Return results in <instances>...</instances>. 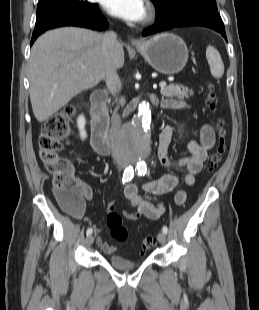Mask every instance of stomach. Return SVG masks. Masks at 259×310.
Returning a JSON list of instances; mask_svg holds the SVG:
<instances>
[{
    "mask_svg": "<svg viewBox=\"0 0 259 310\" xmlns=\"http://www.w3.org/2000/svg\"><path fill=\"white\" fill-rule=\"evenodd\" d=\"M137 50L153 69L166 75L179 73L188 61L185 42L171 33H162L142 42Z\"/></svg>",
    "mask_w": 259,
    "mask_h": 310,
    "instance_id": "0dacf381",
    "label": "stomach"
}]
</instances>
